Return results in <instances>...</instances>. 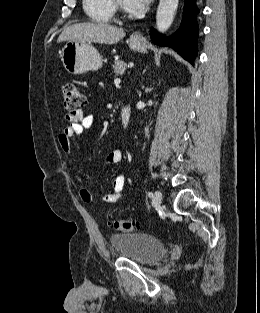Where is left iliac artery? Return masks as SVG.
Segmentation results:
<instances>
[{"mask_svg":"<svg viewBox=\"0 0 260 313\" xmlns=\"http://www.w3.org/2000/svg\"><path fill=\"white\" fill-rule=\"evenodd\" d=\"M148 196H149V197H152V196H153V193H152V192H149V193H148Z\"/></svg>","mask_w":260,"mask_h":313,"instance_id":"left-iliac-artery-1","label":"left iliac artery"}]
</instances>
